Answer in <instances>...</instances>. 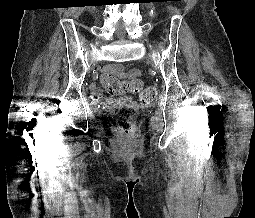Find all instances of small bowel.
Masks as SVG:
<instances>
[{"instance_id":"small-bowel-1","label":"small bowel","mask_w":255,"mask_h":218,"mask_svg":"<svg viewBox=\"0 0 255 218\" xmlns=\"http://www.w3.org/2000/svg\"><path fill=\"white\" fill-rule=\"evenodd\" d=\"M103 76L135 79L139 76V71L137 69H130L128 71H125V69L121 65L111 64L105 68ZM93 98L96 101L101 100V95L96 88H93ZM109 102L113 104H118L122 102V100H110Z\"/></svg>"}]
</instances>
